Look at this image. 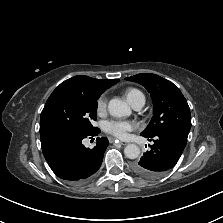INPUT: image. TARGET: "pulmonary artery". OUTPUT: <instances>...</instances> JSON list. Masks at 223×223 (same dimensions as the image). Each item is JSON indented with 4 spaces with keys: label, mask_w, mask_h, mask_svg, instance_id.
<instances>
[{
    "label": "pulmonary artery",
    "mask_w": 223,
    "mask_h": 223,
    "mask_svg": "<svg viewBox=\"0 0 223 223\" xmlns=\"http://www.w3.org/2000/svg\"><path fill=\"white\" fill-rule=\"evenodd\" d=\"M145 104V98H140L132 106L135 110H141Z\"/></svg>",
    "instance_id": "pulmonary-artery-1"
}]
</instances>
